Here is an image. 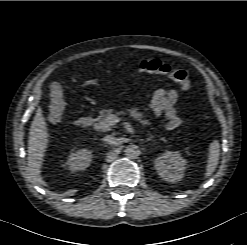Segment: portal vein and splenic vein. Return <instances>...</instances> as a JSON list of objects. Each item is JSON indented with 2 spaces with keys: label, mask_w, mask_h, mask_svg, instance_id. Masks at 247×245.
Returning a JSON list of instances; mask_svg holds the SVG:
<instances>
[{
  "label": "portal vein and splenic vein",
  "mask_w": 247,
  "mask_h": 245,
  "mask_svg": "<svg viewBox=\"0 0 247 245\" xmlns=\"http://www.w3.org/2000/svg\"><path fill=\"white\" fill-rule=\"evenodd\" d=\"M109 121H110V125H115L116 123L120 122L121 119L118 116H116V115H112L109 118Z\"/></svg>",
  "instance_id": "1"
}]
</instances>
